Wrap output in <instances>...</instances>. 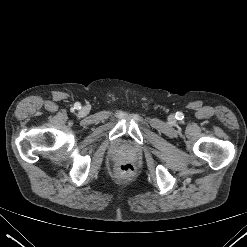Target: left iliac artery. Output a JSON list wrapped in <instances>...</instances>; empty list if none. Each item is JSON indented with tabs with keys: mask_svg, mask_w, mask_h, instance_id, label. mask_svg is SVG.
Returning a JSON list of instances; mask_svg holds the SVG:
<instances>
[{
	"mask_svg": "<svg viewBox=\"0 0 247 247\" xmlns=\"http://www.w3.org/2000/svg\"><path fill=\"white\" fill-rule=\"evenodd\" d=\"M179 117L182 115V113H178Z\"/></svg>",
	"mask_w": 247,
	"mask_h": 247,
	"instance_id": "44dca946",
	"label": "left iliac artery"
}]
</instances>
